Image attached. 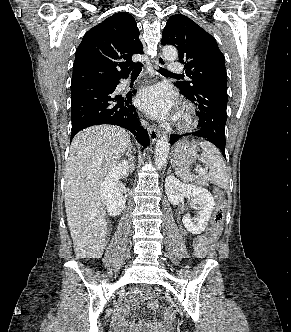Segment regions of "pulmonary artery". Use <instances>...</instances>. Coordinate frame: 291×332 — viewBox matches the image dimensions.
<instances>
[{
  "instance_id": "1",
  "label": "pulmonary artery",
  "mask_w": 291,
  "mask_h": 332,
  "mask_svg": "<svg viewBox=\"0 0 291 332\" xmlns=\"http://www.w3.org/2000/svg\"><path fill=\"white\" fill-rule=\"evenodd\" d=\"M168 69L172 74H179L182 72V66L178 62H171L168 66ZM123 83L126 85V84H129L130 81L126 80Z\"/></svg>"
}]
</instances>
